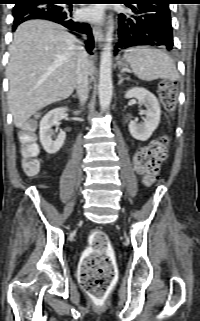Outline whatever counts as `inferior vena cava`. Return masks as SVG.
Segmentation results:
<instances>
[{
  "label": "inferior vena cava",
  "instance_id": "602c4592",
  "mask_svg": "<svg viewBox=\"0 0 200 321\" xmlns=\"http://www.w3.org/2000/svg\"><path fill=\"white\" fill-rule=\"evenodd\" d=\"M88 54L83 47H79L76 71V90L80 104L84 105L89 94Z\"/></svg>",
  "mask_w": 200,
  "mask_h": 321
}]
</instances>
